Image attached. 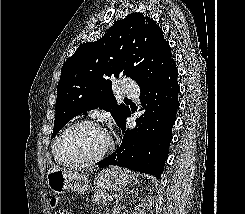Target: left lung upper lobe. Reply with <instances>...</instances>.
<instances>
[{"mask_svg":"<svg viewBox=\"0 0 245 214\" xmlns=\"http://www.w3.org/2000/svg\"><path fill=\"white\" fill-rule=\"evenodd\" d=\"M175 64L162 29L142 13L118 20L95 42L81 44L62 66L51 139L75 116L99 107L121 126L130 109L117 105L112 80L126 75L140 90Z\"/></svg>","mask_w":245,"mask_h":214,"instance_id":"5c2ea615","label":"left lung upper lobe"}]
</instances>
